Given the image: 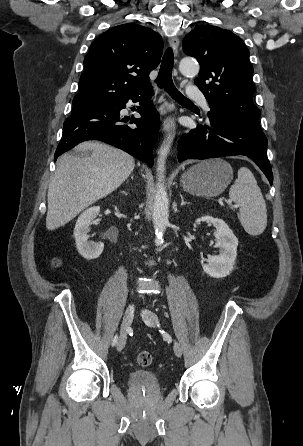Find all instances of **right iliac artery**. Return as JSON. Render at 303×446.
Masks as SVG:
<instances>
[{
	"label": "right iliac artery",
	"instance_id": "82829eb1",
	"mask_svg": "<svg viewBox=\"0 0 303 446\" xmlns=\"http://www.w3.org/2000/svg\"><path fill=\"white\" fill-rule=\"evenodd\" d=\"M117 339H118V336L116 335L112 340V346H114L117 343Z\"/></svg>",
	"mask_w": 303,
	"mask_h": 446
}]
</instances>
